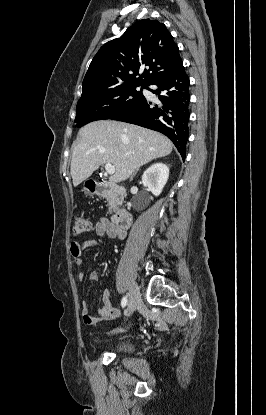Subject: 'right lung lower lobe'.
I'll return each instance as SVG.
<instances>
[{
	"label": "right lung lower lobe",
	"instance_id": "1",
	"mask_svg": "<svg viewBox=\"0 0 266 415\" xmlns=\"http://www.w3.org/2000/svg\"><path fill=\"white\" fill-rule=\"evenodd\" d=\"M150 85L157 86L155 90H148L158 96L161 104L152 106L144 97L136 106L110 119L136 124L166 135L185 159L190 116L189 78L185 68L182 65Z\"/></svg>",
	"mask_w": 266,
	"mask_h": 415
}]
</instances>
